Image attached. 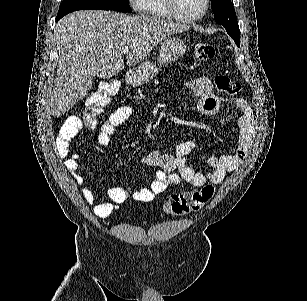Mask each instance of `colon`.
Segmentation results:
<instances>
[{
	"label": "colon",
	"instance_id": "1",
	"mask_svg": "<svg viewBox=\"0 0 307 301\" xmlns=\"http://www.w3.org/2000/svg\"><path fill=\"white\" fill-rule=\"evenodd\" d=\"M193 55L198 61H209L215 55L214 47L204 41H196L192 45ZM215 84L219 91L226 94H237L241 85L225 75L215 77ZM120 83L118 81H107L93 93L87 101L84 112L79 115L82 126L88 130H95L98 127L99 117L112 99L118 95ZM214 187L205 185L200 189L182 192L170 197L164 204L167 214L182 216L190 212L199 211L207 204L214 195Z\"/></svg>",
	"mask_w": 307,
	"mask_h": 301
}]
</instances>
